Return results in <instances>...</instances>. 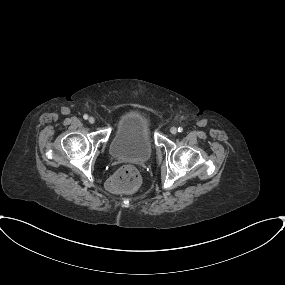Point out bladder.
Returning <instances> with one entry per match:
<instances>
[{
    "instance_id": "1",
    "label": "bladder",
    "mask_w": 285,
    "mask_h": 285,
    "mask_svg": "<svg viewBox=\"0 0 285 285\" xmlns=\"http://www.w3.org/2000/svg\"><path fill=\"white\" fill-rule=\"evenodd\" d=\"M153 150L151 123L145 112L141 109L129 112L114 130L110 155L115 159L143 162L151 158Z\"/></svg>"
}]
</instances>
